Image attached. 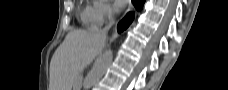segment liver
I'll return each mask as SVG.
<instances>
[{
    "instance_id": "obj_1",
    "label": "liver",
    "mask_w": 228,
    "mask_h": 90,
    "mask_svg": "<svg viewBox=\"0 0 228 90\" xmlns=\"http://www.w3.org/2000/svg\"><path fill=\"white\" fill-rule=\"evenodd\" d=\"M105 40L94 31L68 33L50 62V90H72L79 73L103 50Z\"/></svg>"
}]
</instances>
